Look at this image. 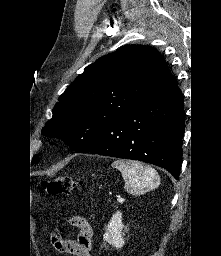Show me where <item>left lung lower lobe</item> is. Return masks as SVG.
I'll use <instances>...</instances> for the list:
<instances>
[{
  "label": "left lung lower lobe",
  "instance_id": "obj_1",
  "mask_svg": "<svg viewBox=\"0 0 221 256\" xmlns=\"http://www.w3.org/2000/svg\"><path fill=\"white\" fill-rule=\"evenodd\" d=\"M183 105L182 93L172 77L133 110L103 126L75 152L152 163L178 179L185 130Z\"/></svg>",
  "mask_w": 221,
  "mask_h": 256
}]
</instances>
